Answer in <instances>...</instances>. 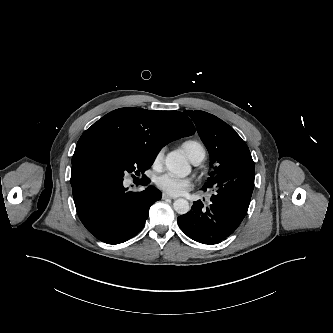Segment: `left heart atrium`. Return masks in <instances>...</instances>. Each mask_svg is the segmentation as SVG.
I'll use <instances>...</instances> for the list:
<instances>
[{
  "mask_svg": "<svg viewBox=\"0 0 333 333\" xmlns=\"http://www.w3.org/2000/svg\"><path fill=\"white\" fill-rule=\"evenodd\" d=\"M155 185L170 196H179L191 189L193 183L190 178H181L165 173L155 178Z\"/></svg>",
  "mask_w": 333,
  "mask_h": 333,
  "instance_id": "39dd6f15",
  "label": "left heart atrium"
}]
</instances>
